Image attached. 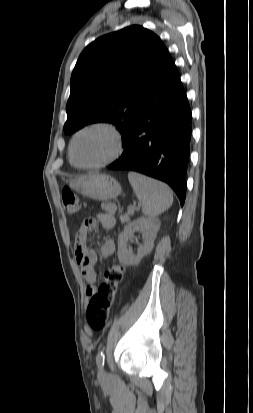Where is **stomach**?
<instances>
[{"mask_svg":"<svg viewBox=\"0 0 253 413\" xmlns=\"http://www.w3.org/2000/svg\"><path fill=\"white\" fill-rule=\"evenodd\" d=\"M70 187L85 197L100 201L114 199L121 193L119 182L105 174L75 178L70 181Z\"/></svg>","mask_w":253,"mask_h":413,"instance_id":"0dacf381","label":"stomach"}]
</instances>
